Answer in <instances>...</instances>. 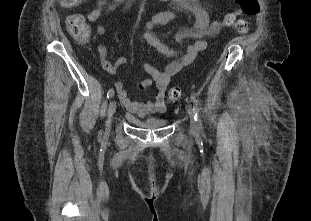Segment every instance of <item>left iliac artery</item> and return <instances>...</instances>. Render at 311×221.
<instances>
[{
    "label": "left iliac artery",
    "instance_id": "44dca946",
    "mask_svg": "<svg viewBox=\"0 0 311 221\" xmlns=\"http://www.w3.org/2000/svg\"><path fill=\"white\" fill-rule=\"evenodd\" d=\"M191 102L193 105L194 120H195L197 126L201 127L202 123H201V118L199 115V104H198V100L194 94H191Z\"/></svg>",
    "mask_w": 311,
    "mask_h": 221
}]
</instances>
